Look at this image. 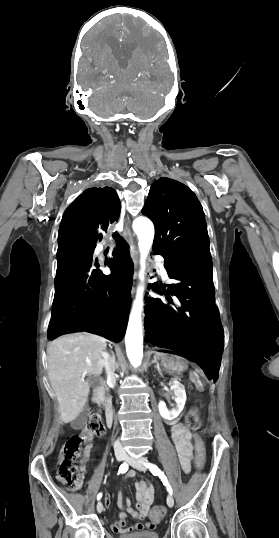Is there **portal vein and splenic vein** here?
<instances>
[{
  "label": "portal vein and splenic vein",
  "instance_id": "obj_1",
  "mask_svg": "<svg viewBox=\"0 0 279 538\" xmlns=\"http://www.w3.org/2000/svg\"><path fill=\"white\" fill-rule=\"evenodd\" d=\"M173 383H181V377H172Z\"/></svg>",
  "mask_w": 279,
  "mask_h": 538
}]
</instances>
